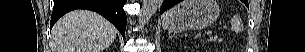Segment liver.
<instances>
[{
	"label": "liver",
	"mask_w": 305,
	"mask_h": 52,
	"mask_svg": "<svg viewBox=\"0 0 305 52\" xmlns=\"http://www.w3.org/2000/svg\"><path fill=\"white\" fill-rule=\"evenodd\" d=\"M116 34V28L99 14L72 11L54 25L51 52H102L113 43Z\"/></svg>",
	"instance_id": "6515ba94"
}]
</instances>
